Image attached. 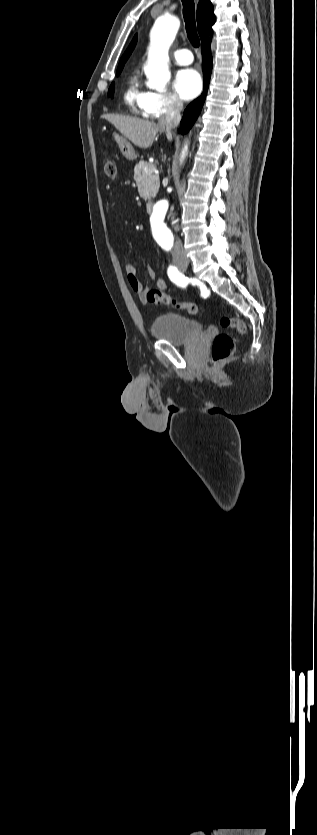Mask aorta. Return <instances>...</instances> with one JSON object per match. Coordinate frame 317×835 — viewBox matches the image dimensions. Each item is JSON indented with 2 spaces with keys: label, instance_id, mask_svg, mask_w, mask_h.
I'll return each mask as SVG.
<instances>
[{
  "label": "aorta",
  "instance_id": "762f6f07",
  "mask_svg": "<svg viewBox=\"0 0 317 835\" xmlns=\"http://www.w3.org/2000/svg\"><path fill=\"white\" fill-rule=\"evenodd\" d=\"M179 19L176 15H160L156 18L150 32V46L144 72L147 77L146 85L150 89L163 92L170 81L169 49L174 42L179 29ZM187 146L182 151L181 161L185 158ZM168 201L158 202L153 210L151 220L155 233L160 237H170V230L166 225L165 216Z\"/></svg>",
  "mask_w": 317,
  "mask_h": 835
}]
</instances>
